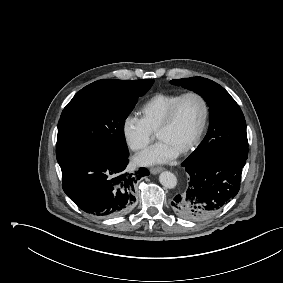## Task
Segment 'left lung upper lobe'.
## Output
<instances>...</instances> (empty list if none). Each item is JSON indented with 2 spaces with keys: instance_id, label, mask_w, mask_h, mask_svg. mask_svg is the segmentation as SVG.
<instances>
[{
  "instance_id": "obj_1",
  "label": "left lung upper lobe",
  "mask_w": 283,
  "mask_h": 283,
  "mask_svg": "<svg viewBox=\"0 0 283 283\" xmlns=\"http://www.w3.org/2000/svg\"><path fill=\"white\" fill-rule=\"evenodd\" d=\"M171 83L201 95L209 106L208 133L185 161L191 163L219 155L247 159L248 140L245 118L230 94L219 84L203 77L174 79Z\"/></svg>"
}]
</instances>
